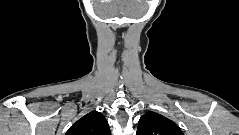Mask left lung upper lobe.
Returning <instances> with one entry per match:
<instances>
[{"label": "left lung upper lobe", "instance_id": "obj_1", "mask_svg": "<svg viewBox=\"0 0 239 135\" xmlns=\"http://www.w3.org/2000/svg\"><path fill=\"white\" fill-rule=\"evenodd\" d=\"M136 135H184L170 119L156 113H145L138 122Z\"/></svg>", "mask_w": 239, "mask_h": 135}]
</instances>
